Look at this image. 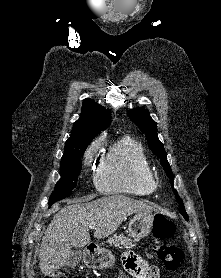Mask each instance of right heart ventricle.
<instances>
[{
	"instance_id": "1",
	"label": "right heart ventricle",
	"mask_w": 221,
	"mask_h": 278,
	"mask_svg": "<svg viewBox=\"0 0 221 278\" xmlns=\"http://www.w3.org/2000/svg\"><path fill=\"white\" fill-rule=\"evenodd\" d=\"M152 167L143 146L131 137L113 143L95 173L96 187L105 194L147 196L152 190Z\"/></svg>"
}]
</instances>
